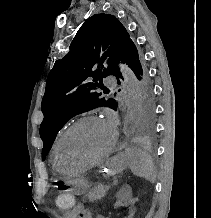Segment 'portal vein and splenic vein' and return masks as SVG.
Here are the masks:
<instances>
[{"mask_svg":"<svg viewBox=\"0 0 211 218\" xmlns=\"http://www.w3.org/2000/svg\"><path fill=\"white\" fill-rule=\"evenodd\" d=\"M112 186L111 185H108V188H106V191H109V188H111Z\"/></svg>","mask_w":211,"mask_h":218,"instance_id":"portal-vein-and-splenic-vein-1","label":"portal vein and splenic vein"}]
</instances>
